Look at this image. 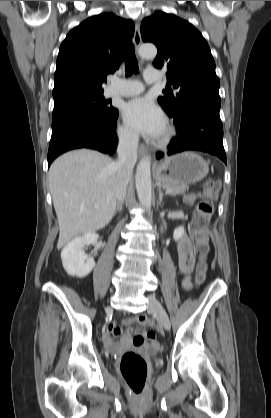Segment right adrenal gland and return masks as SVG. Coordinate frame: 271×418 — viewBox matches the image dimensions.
Wrapping results in <instances>:
<instances>
[{
    "label": "right adrenal gland",
    "mask_w": 271,
    "mask_h": 418,
    "mask_svg": "<svg viewBox=\"0 0 271 418\" xmlns=\"http://www.w3.org/2000/svg\"><path fill=\"white\" fill-rule=\"evenodd\" d=\"M122 207H123V201L118 202L117 203V206H116V209H115V213L117 211H121L122 210Z\"/></svg>",
    "instance_id": "obj_1"
}]
</instances>
